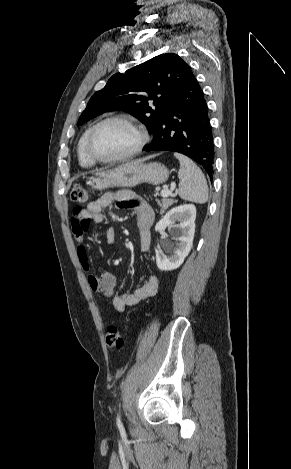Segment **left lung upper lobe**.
Returning <instances> with one entry per match:
<instances>
[{"mask_svg": "<svg viewBox=\"0 0 291 469\" xmlns=\"http://www.w3.org/2000/svg\"><path fill=\"white\" fill-rule=\"evenodd\" d=\"M191 74L189 65L173 53L158 55L124 74L117 73L91 97L78 125L107 111L130 110L154 134L167 106Z\"/></svg>", "mask_w": 291, "mask_h": 469, "instance_id": "1", "label": "left lung upper lobe"}]
</instances>
